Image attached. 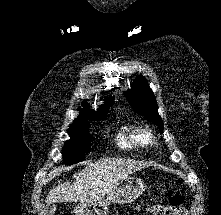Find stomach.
<instances>
[{
    "label": "stomach",
    "instance_id": "stomach-1",
    "mask_svg": "<svg viewBox=\"0 0 221 215\" xmlns=\"http://www.w3.org/2000/svg\"><path fill=\"white\" fill-rule=\"evenodd\" d=\"M145 190L142 179L128 177L122 180L106 198L94 203H81L74 208L76 215H107L109 206L113 204H126L135 201Z\"/></svg>",
    "mask_w": 221,
    "mask_h": 215
}]
</instances>
